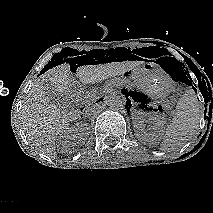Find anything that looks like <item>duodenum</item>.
Listing matches in <instances>:
<instances>
[{
    "label": "duodenum",
    "mask_w": 213,
    "mask_h": 213,
    "mask_svg": "<svg viewBox=\"0 0 213 213\" xmlns=\"http://www.w3.org/2000/svg\"><path fill=\"white\" fill-rule=\"evenodd\" d=\"M72 96L76 97L77 96V93L76 92H73L72 93ZM98 101H94L92 103H89L86 105V108L90 109V108H94L96 105H97Z\"/></svg>",
    "instance_id": "obj_1"
}]
</instances>
